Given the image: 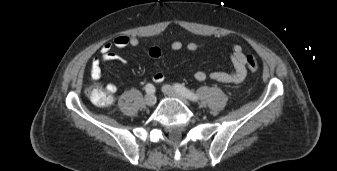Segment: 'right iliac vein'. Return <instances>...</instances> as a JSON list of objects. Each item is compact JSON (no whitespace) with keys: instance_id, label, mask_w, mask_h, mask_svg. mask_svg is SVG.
Here are the masks:
<instances>
[{"instance_id":"right-iliac-vein-1","label":"right iliac vein","mask_w":337,"mask_h":171,"mask_svg":"<svg viewBox=\"0 0 337 171\" xmlns=\"http://www.w3.org/2000/svg\"><path fill=\"white\" fill-rule=\"evenodd\" d=\"M145 103L148 106H153L156 103V96L154 94H147L145 96Z\"/></svg>"}]
</instances>
